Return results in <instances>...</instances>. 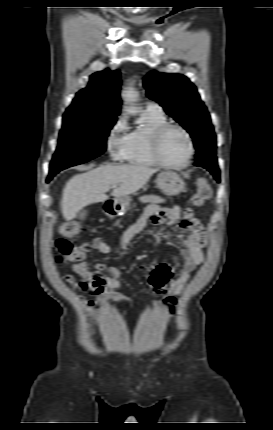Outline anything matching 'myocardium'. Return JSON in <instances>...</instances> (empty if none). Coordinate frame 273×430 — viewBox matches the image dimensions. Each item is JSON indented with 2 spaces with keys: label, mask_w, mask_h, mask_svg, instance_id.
Masks as SVG:
<instances>
[{
  "label": "myocardium",
  "mask_w": 273,
  "mask_h": 430,
  "mask_svg": "<svg viewBox=\"0 0 273 430\" xmlns=\"http://www.w3.org/2000/svg\"><path fill=\"white\" fill-rule=\"evenodd\" d=\"M171 129H176V130H179L180 132H182L184 134L186 140H187V143H188L187 157L184 160V162L180 163V164L167 163L166 161L163 160V158L161 156L162 138H163L164 134ZM150 146H151V154H152V157H153L155 163L158 166H161L163 168L174 169V170H181V169L186 168L191 163V160L193 159L194 152H195L193 140H192L190 133L183 126H181L179 124L168 123V122L158 126L152 132Z\"/></svg>",
  "instance_id": "f54148a6"
}]
</instances>
